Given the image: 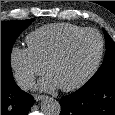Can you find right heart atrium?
Returning <instances> with one entry per match:
<instances>
[{
    "instance_id": "obj_1",
    "label": "right heart atrium",
    "mask_w": 115,
    "mask_h": 115,
    "mask_svg": "<svg viewBox=\"0 0 115 115\" xmlns=\"http://www.w3.org/2000/svg\"><path fill=\"white\" fill-rule=\"evenodd\" d=\"M9 61L16 81L23 89L30 88L35 78L42 75L45 70L28 48L14 46L10 51Z\"/></svg>"
}]
</instances>
